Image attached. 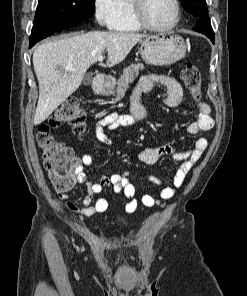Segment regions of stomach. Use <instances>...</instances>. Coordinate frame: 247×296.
Listing matches in <instances>:
<instances>
[{
	"label": "stomach",
	"mask_w": 247,
	"mask_h": 296,
	"mask_svg": "<svg viewBox=\"0 0 247 296\" xmlns=\"http://www.w3.org/2000/svg\"><path fill=\"white\" fill-rule=\"evenodd\" d=\"M141 57L151 65L166 66L176 63L185 57L184 39L175 32L159 33L147 36L141 41ZM102 93H112L100 87Z\"/></svg>",
	"instance_id": "obj_1"
}]
</instances>
